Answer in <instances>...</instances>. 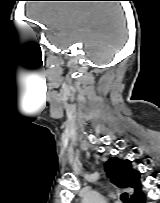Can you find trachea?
<instances>
[{
	"instance_id": "1",
	"label": "trachea",
	"mask_w": 160,
	"mask_h": 203,
	"mask_svg": "<svg viewBox=\"0 0 160 203\" xmlns=\"http://www.w3.org/2000/svg\"><path fill=\"white\" fill-rule=\"evenodd\" d=\"M121 200H122L123 203H130V199H129V197H128V195L126 193H123L121 195Z\"/></svg>"
}]
</instances>
